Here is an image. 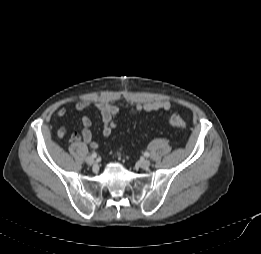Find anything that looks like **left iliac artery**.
I'll use <instances>...</instances> for the list:
<instances>
[{"label":"left iliac artery","instance_id":"obj_1","mask_svg":"<svg viewBox=\"0 0 261 254\" xmlns=\"http://www.w3.org/2000/svg\"><path fill=\"white\" fill-rule=\"evenodd\" d=\"M144 155H145L146 157H149V153H148V152H145Z\"/></svg>","mask_w":261,"mask_h":254}]
</instances>
